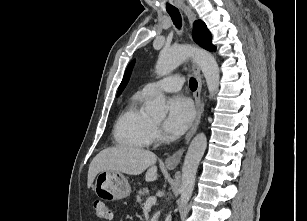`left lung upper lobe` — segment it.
<instances>
[{
  "label": "left lung upper lobe",
  "instance_id": "left-lung-upper-lobe-1",
  "mask_svg": "<svg viewBox=\"0 0 307 221\" xmlns=\"http://www.w3.org/2000/svg\"><path fill=\"white\" fill-rule=\"evenodd\" d=\"M193 38L195 40V42L197 44H199L201 47L209 50V51H213L214 50V46L211 43V34L209 32V30L207 29L206 25L204 22H202L201 20L195 21L194 22V27H193ZM134 65V61H132L125 72V75L123 77V80L119 86L118 89V94L120 95L121 92L123 91V89L125 88V86L127 85L130 75H131V71Z\"/></svg>",
  "mask_w": 307,
  "mask_h": 221
}]
</instances>
